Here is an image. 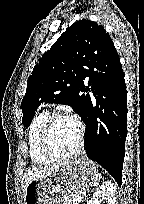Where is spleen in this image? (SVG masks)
<instances>
[{"label": "spleen", "instance_id": "3e777b00", "mask_svg": "<svg viewBox=\"0 0 144 204\" xmlns=\"http://www.w3.org/2000/svg\"><path fill=\"white\" fill-rule=\"evenodd\" d=\"M100 179H101V175L98 174L97 177H96V180L94 182V185H98V182L100 181Z\"/></svg>", "mask_w": 144, "mask_h": 204}]
</instances>
